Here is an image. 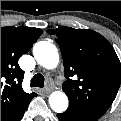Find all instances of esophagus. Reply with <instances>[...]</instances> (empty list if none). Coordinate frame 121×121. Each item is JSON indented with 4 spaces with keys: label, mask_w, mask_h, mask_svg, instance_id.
I'll use <instances>...</instances> for the list:
<instances>
[{
    "label": "esophagus",
    "mask_w": 121,
    "mask_h": 121,
    "mask_svg": "<svg viewBox=\"0 0 121 121\" xmlns=\"http://www.w3.org/2000/svg\"><path fill=\"white\" fill-rule=\"evenodd\" d=\"M51 91V89L49 87L45 88V93H49Z\"/></svg>",
    "instance_id": "34e87169"
}]
</instances>
